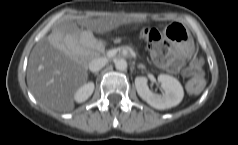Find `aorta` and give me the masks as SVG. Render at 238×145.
Listing matches in <instances>:
<instances>
[{
  "mask_svg": "<svg viewBox=\"0 0 238 145\" xmlns=\"http://www.w3.org/2000/svg\"><path fill=\"white\" fill-rule=\"evenodd\" d=\"M115 68L119 71H125L127 69V61L125 59L116 60Z\"/></svg>",
  "mask_w": 238,
  "mask_h": 145,
  "instance_id": "1",
  "label": "aorta"
}]
</instances>
